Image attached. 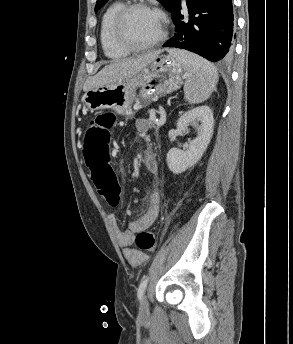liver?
<instances>
[{"mask_svg":"<svg viewBox=\"0 0 293 344\" xmlns=\"http://www.w3.org/2000/svg\"><path fill=\"white\" fill-rule=\"evenodd\" d=\"M161 51L146 53L137 57L116 60L103 67L96 75L88 77L83 91L103 86H115L133 77L144 69Z\"/></svg>","mask_w":293,"mask_h":344,"instance_id":"6515ba94","label":"liver"}]
</instances>
